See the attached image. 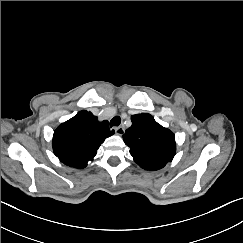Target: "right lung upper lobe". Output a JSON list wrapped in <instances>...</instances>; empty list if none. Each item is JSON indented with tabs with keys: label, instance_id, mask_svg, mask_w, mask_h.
Segmentation results:
<instances>
[{
	"label": "right lung upper lobe",
	"instance_id": "1",
	"mask_svg": "<svg viewBox=\"0 0 243 243\" xmlns=\"http://www.w3.org/2000/svg\"><path fill=\"white\" fill-rule=\"evenodd\" d=\"M113 134L107 121L99 122L91 112L82 110L55 129L53 151L65 165L84 168L104 140Z\"/></svg>",
	"mask_w": 243,
	"mask_h": 243
}]
</instances>
